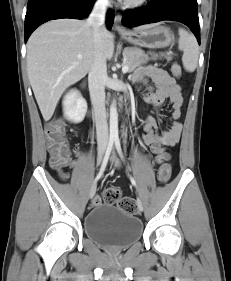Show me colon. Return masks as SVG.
Segmentation results:
<instances>
[{
    "mask_svg": "<svg viewBox=\"0 0 231 281\" xmlns=\"http://www.w3.org/2000/svg\"><path fill=\"white\" fill-rule=\"evenodd\" d=\"M171 72L174 77L179 78L181 76L180 65L177 63L173 64ZM46 137L50 153V165L55 169H64L71 161L64 122L58 119L49 123L46 127ZM171 172L172 169L169 164H162L158 169V180L161 183H167L171 178ZM102 200L107 204L116 203L121 210L128 214H135L137 212L135 201L129 197H121V191L117 187L107 188L103 193ZM102 200L99 197L95 198L93 205H99Z\"/></svg>",
    "mask_w": 231,
    "mask_h": 281,
    "instance_id": "obj_1",
    "label": "colon"
}]
</instances>
